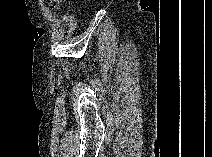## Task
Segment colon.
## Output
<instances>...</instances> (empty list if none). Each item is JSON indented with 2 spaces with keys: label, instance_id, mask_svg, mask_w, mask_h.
<instances>
[{
  "label": "colon",
  "instance_id": "5ec220e1",
  "mask_svg": "<svg viewBox=\"0 0 212 157\" xmlns=\"http://www.w3.org/2000/svg\"><path fill=\"white\" fill-rule=\"evenodd\" d=\"M52 5H53L54 7H58V2H53Z\"/></svg>",
  "mask_w": 212,
  "mask_h": 157
}]
</instances>
